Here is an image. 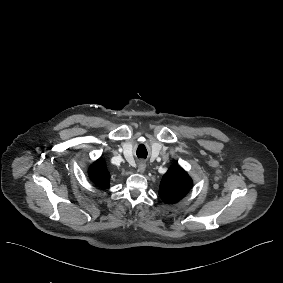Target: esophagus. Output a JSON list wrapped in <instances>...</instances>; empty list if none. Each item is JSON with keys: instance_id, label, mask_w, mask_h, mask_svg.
Segmentation results:
<instances>
[{"instance_id": "obj_1", "label": "esophagus", "mask_w": 283, "mask_h": 283, "mask_svg": "<svg viewBox=\"0 0 283 283\" xmlns=\"http://www.w3.org/2000/svg\"><path fill=\"white\" fill-rule=\"evenodd\" d=\"M137 171L140 172V173H143L146 169V163L141 161L137 164Z\"/></svg>"}]
</instances>
